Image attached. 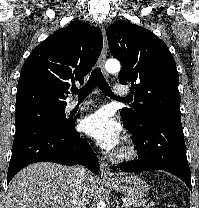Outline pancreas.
<instances>
[{"label":"pancreas","mask_w":199,"mask_h":208,"mask_svg":"<svg viewBox=\"0 0 199 208\" xmlns=\"http://www.w3.org/2000/svg\"><path fill=\"white\" fill-rule=\"evenodd\" d=\"M128 205L133 206V207H145V208H150V205H146V203L142 200H135V199H128Z\"/></svg>","instance_id":"obj_1"}]
</instances>
